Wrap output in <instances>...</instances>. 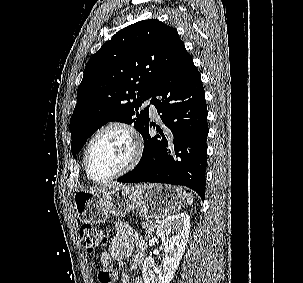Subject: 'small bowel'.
Segmentation results:
<instances>
[{
	"label": "small bowel",
	"mask_w": 303,
	"mask_h": 283,
	"mask_svg": "<svg viewBox=\"0 0 303 283\" xmlns=\"http://www.w3.org/2000/svg\"><path fill=\"white\" fill-rule=\"evenodd\" d=\"M116 233L113 236L108 251L100 254V262L107 267L112 261L122 262L124 257L133 252L130 267L132 270L138 268L146 252V243L141 235L122 221L115 224ZM121 283H131L127 274L121 276ZM134 283H143L141 278H136Z\"/></svg>",
	"instance_id": "c3829d8e"
}]
</instances>
